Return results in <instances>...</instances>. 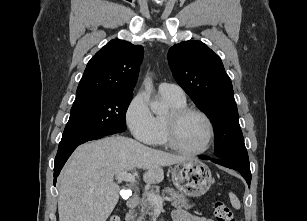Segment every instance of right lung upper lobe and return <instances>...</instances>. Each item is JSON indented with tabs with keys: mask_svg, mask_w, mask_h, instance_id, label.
<instances>
[{
	"mask_svg": "<svg viewBox=\"0 0 307 221\" xmlns=\"http://www.w3.org/2000/svg\"><path fill=\"white\" fill-rule=\"evenodd\" d=\"M143 47L113 39L88 62L74 102L111 93H133Z\"/></svg>",
	"mask_w": 307,
	"mask_h": 221,
	"instance_id": "obj_1",
	"label": "right lung upper lobe"
}]
</instances>
